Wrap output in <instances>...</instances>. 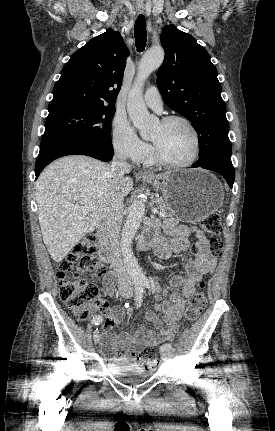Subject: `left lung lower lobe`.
<instances>
[{"mask_svg": "<svg viewBox=\"0 0 275 431\" xmlns=\"http://www.w3.org/2000/svg\"><path fill=\"white\" fill-rule=\"evenodd\" d=\"M192 167L204 168L211 171H215L221 174L225 178L230 188L233 187L235 171L230 159H224V160L216 159V160H211L204 163L196 162L195 164L192 165Z\"/></svg>", "mask_w": 275, "mask_h": 431, "instance_id": "obj_1", "label": "left lung lower lobe"}]
</instances>
